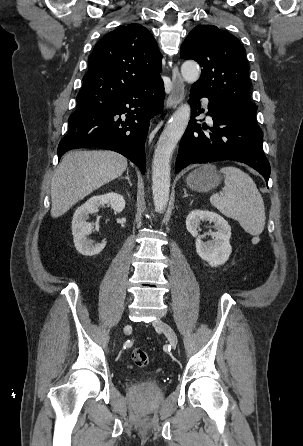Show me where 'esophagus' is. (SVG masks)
Instances as JSON below:
<instances>
[{
	"mask_svg": "<svg viewBox=\"0 0 303 446\" xmlns=\"http://www.w3.org/2000/svg\"><path fill=\"white\" fill-rule=\"evenodd\" d=\"M184 81L181 77L178 66L175 64L172 68V90L166 101V108H176L184 100Z\"/></svg>",
	"mask_w": 303,
	"mask_h": 446,
	"instance_id": "esophagus-1",
	"label": "esophagus"
}]
</instances>
